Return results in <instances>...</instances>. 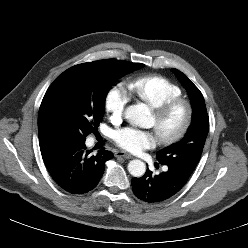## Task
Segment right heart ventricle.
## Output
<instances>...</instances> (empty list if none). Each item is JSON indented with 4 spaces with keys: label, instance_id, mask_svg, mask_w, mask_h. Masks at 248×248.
Wrapping results in <instances>:
<instances>
[{
    "label": "right heart ventricle",
    "instance_id": "right-heart-ventricle-1",
    "mask_svg": "<svg viewBox=\"0 0 248 248\" xmlns=\"http://www.w3.org/2000/svg\"><path fill=\"white\" fill-rule=\"evenodd\" d=\"M131 95L157 108L164 102L181 97V87L170 79L158 75H143L128 83Z\"/></svg>",
    "mask_w": 248,
    "mask_h": 248
}]
</instances>
